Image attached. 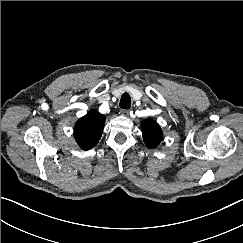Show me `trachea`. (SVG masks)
<instances>
[{"mask_svg":"<svg viewBox=\"0 0 243 243\" xmlns=\"http://www.w3.org/2000/svg\"><path fill=\"white\" fill-rule=\"evenodd\" d=\"M119 105L123 109H129L131 107V97L128 93L122 94Z\"/></svg>","mask_w":243,"mask_h":243,"instance_id":"1","label":"trachea"}]
</instances>
